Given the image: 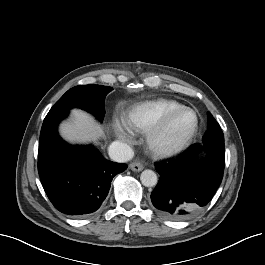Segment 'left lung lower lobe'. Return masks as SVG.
Returning <instances> with one entry per match:
<instances>
[{
  "label": "left lung lower lobe",
  "mask_w": 265,
  "mask_h": 265,
  "mask_svg": "<svg viewBox=\"0 0 265 265\" xmlns=\"http://www.w3.org/2000/svg\"><path fill=\"white\" fill-rule=\"evenodd\" d=\"M205 159H198L203 148L196 145L176 161L156 166L160 180L151 193L157 212L170 220H185L198 214L219 188L225 167L224 142H204Z\"/></svg>",
  "instance_id": "1"
}]
</instances>
